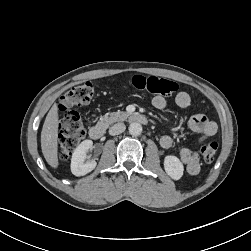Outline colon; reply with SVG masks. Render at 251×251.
I'll return each mask as SVG.
<instances>
[{
  "mask_svg": "<svg viewBox=\"0 0 251 251\" xmlns=\"http://www.w3.org/2000/svg\"><path fill=\"white\" fill-rule=\"evenodd\" d=\"M130 85L142 92L153 95L171 96L178 90V85L172 80L156 77L135 75L130 79ZM95 86L92 82H83L67 89L59 102L60 135L59 158L66 161L84 136V126L76 108L87 105L93 98ZM218 151V143L207 142L201 148V154L206 162H212Z\"/></svg>",
  "mask_w": 251,
  "mask_h": 251,
  "instance_id": "colon-1",
  "label": "colon"
}]
</instances>
